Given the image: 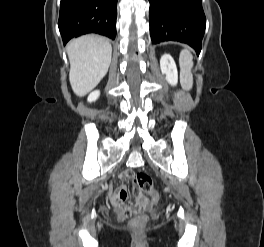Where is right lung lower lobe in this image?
<instances>
[{
  "label": "right lung lower lobe",
  "mask_w": 264,
  "mask_h": 247,
  "mask_svg": "<svg viewBox=\"0 0 264 247\" xmlns=\"http://www.w3.org/2000/svg\"><path fill=\"white\" fill-rule=\"evenodd\" d=\"M116 6L117 0H61L58 26L63 43L88 33L114 40Z\"/></svg>",
  "instance_id": "98d812e1"
}]
</instances>
